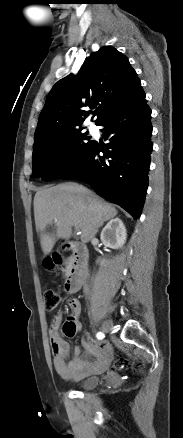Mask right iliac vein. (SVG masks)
<instances>
[{
	"label": "right iliac vein",
	"instance_id": "obj_1",
	"mask_svg": "<svg viewBox=\"0 0 183 438\" xmlns=\"http://www.w3.org/2000/svg\"><path fill=\"white\" fill-rule=\"evenodd\" d=\"M112 329V322L111 321H104L102 323V330L103 332H109Z\"/></svg>",
	"mask_w": 183,
	"mask_h": 438
}]
</instances>
